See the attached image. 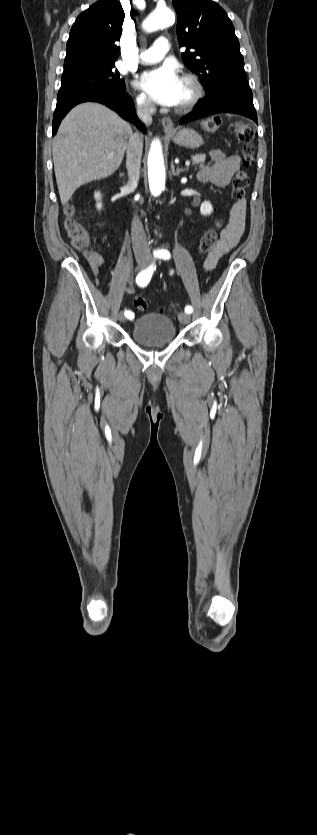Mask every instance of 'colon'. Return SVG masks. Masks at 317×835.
<instances>
[{
    "label": "colon",
    "instance_id": "colon-1",
    "mask_svg": "<svg viewBox=\"0 0 317 835\" xmlns=\"http://www.w3.org/2000/svg\"><path fill=\"white\" fill-rule=\"evenodd\" d=\"M221 120L218 117H210L202 121V129L214 134L218 131ZM232 132L236 139L242 144V162L245 166H250L255 160V151L252 146L254 138L253 128L244 123L237 122L232 126ZM249 185V178L246 172L239 171L232 180V197L235 204L241 206L244 203L246 196V189ZM64 213L66 216L65 229L72 245L78 250L86 251L91 258L94 253L89 250L91 239L86 227L76 218L75 208L72 204L65 207ZM220 224H216L213 228L207 230L200 238L197 245V252L199 254L209 253L218 242V228ZM134 306L139 310H145L148 307L147 300L142 296H136L133 300Z\"/></svg>",
    "mask_w": 317,
    "mask_h": 835
}]
</instances>
